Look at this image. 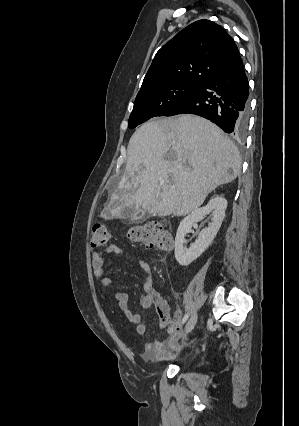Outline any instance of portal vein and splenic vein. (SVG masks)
I'll list each match as a JSON object with an SVG mask.
<instances>
[{"mask_svg":"<svg viewBox=\"0 0 299 426\" xmlns=\"http://www.w3.org/2000/svg\"><path fill=\"white\" fill-rule=\"evenodd\" d=\"M160 184H161V185H164L165 183H164V181H161V182H160Z\"/></svg>","mask_w":299,"mask_h":426,"instance_id":"18ae733b","label":"portal vein and splenic vein"}]
</instances>
